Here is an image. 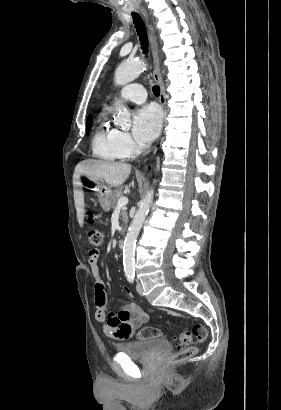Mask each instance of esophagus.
I'll return each mask as SVG.
<instances>
[{
  "label": "esophagus",
  "mask_w": 281,
  "mask_h": 410,
  "mask_svg": "<svg viewBox=\"0 0 281 410\" xmlns=\"http://www.w3.org/2000/svg\"><path fill=\"white\" fill-rule=\"evenodd\" d=\"M142 14L145 17L148 23V28H149V37H150L151 51H152L153 63H154L153 78L160 87V103L163 107H165L166 92H165V86H164V82H163L161 71H160V59H159V49H158L157 37L155 35L153 26L149 23L148 13L145 10H142ZM154 152H156V149L154 150Z\"/></svg>",
  "instance_id": "1"
}]
</instances>
